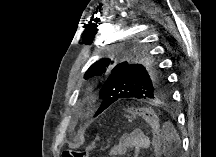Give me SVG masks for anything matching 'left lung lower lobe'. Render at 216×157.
I'll return each mask as SVG.
<instances>
[{
    "mask_svg": "<svg viewBox=\"0 0 216 157\" xmlns=\"http://www.w3.org/2000/svg\"><path fill=\"white\" fill-rule=\"evenodd\" d=\"M110 103H111V101L110 102H106V103H102L101 106H100V108L98 109L96 115L100 114L102 111H104L106 108H108L111 105Z\"/></svg>",
    "mask_w": 216,
    "mask_h": 157,
    "instance_id": "obj_1",
    "label": "left lung lower lobe"
}]
</instances>
